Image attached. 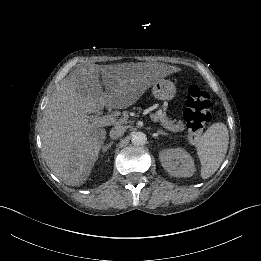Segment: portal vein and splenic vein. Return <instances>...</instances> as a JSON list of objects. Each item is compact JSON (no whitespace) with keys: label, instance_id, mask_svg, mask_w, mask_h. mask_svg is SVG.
I'll return each mask as SVG.
<instances>
[{"label":"portal vein and splenic vein","instance_id":"obj_1","mask_svg":"<svg viewBox=\"0 0 261 261\" xmlns=\"http://www.w3.org/2000/svg\"><path fill=\"white\" fill-rule=\"evenodd\" d=\"M149 118L154 124L158 123V119L152 113H149ZM96 122L101 126H109L115 123V118L113 116H103L97 118Z\"/></svg>","mask_w":261,"mask_h":261}]
</instances>
